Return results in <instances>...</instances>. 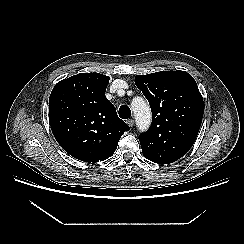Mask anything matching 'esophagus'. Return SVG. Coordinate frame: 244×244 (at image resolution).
I'll use <instances>...</instances> for the list:
<instances>
[{
  "instance_id": "obj_1",
  "label": "esophagus",
  "mask_w": 244,
  "mask_h": 244,
  "mask_svg": "<svg viewBox=\"0 0 244 244\" xmlns=\"http://www.w3.org/2000/svg\"><path fill=\"white\" fill-rule=\"evenodd\" d=\"M126 122L129 125V127H133V125H134V120L133 119H128Z\"/></svg>"
}]
</instances>
